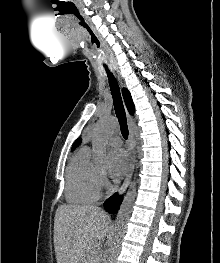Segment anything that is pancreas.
<instances>
[{"label":"pancreas","mask_w":220,"mask_h":263,"mask_svg":"<svg viewBox=\"0 0 220 263\" xmlns=\"http://www.w3.org/2000/svg\"><path fill=\"white\" fill-rule=\"evenodd\" d=\"M99 252H100V251L98 250V248L92 249V250H91V256H92L93 258H95V257L98 256Z\"/></svg>","instance_id":"obj_1"}]
</instances>
